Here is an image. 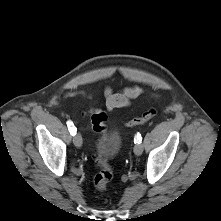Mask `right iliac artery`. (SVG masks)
I'll return each mask as SVG.
<instances>
[{
    "label": "right iliac artery",
    "instance_id": "1",
    "mask_svg": "<svg viewBox=\"0 0 221 221\" xmlns=\"http://www.w3.org/2000/svg\"><path fill=\"white\" fill-rule=\"evenodd\" d=\"M67 126H68V129H69V131H70V134H71L72 136H74V135L76 134V131H77V129H76V127L74 126V124H73L71 121H68V122H67Z\"/></svg>",
    "mask_w": 221,
    "mask_h": 221
}]
</instances>
